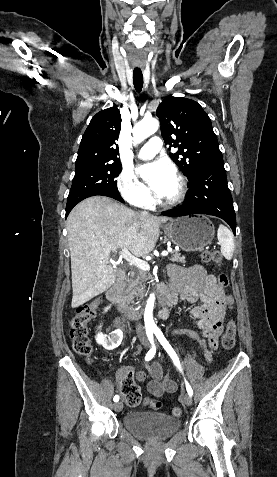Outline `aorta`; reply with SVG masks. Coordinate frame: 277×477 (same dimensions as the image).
I'll use <instances>...</instances> for the list:
<instances>
[{"mask_svg": "<svg viewBox=\"0 0 277 477\" xmlns=\"http://www.w3.org/2000/svg\"><path fill=\"white\" fill-rule=\"evenodd\" d=\"M159 128V122L155 118L143 119L137 123L133 128V141L138 144L146 139L148 136L154 134ZM155 303V296L151 294L147 300L144 321L148 328H155V322L153 319V309Z\"/></svg>", "mask_w": 277, "mask_h": 477, "instance_id": "aorta-1", "label": "aorta"}]
</instances>
